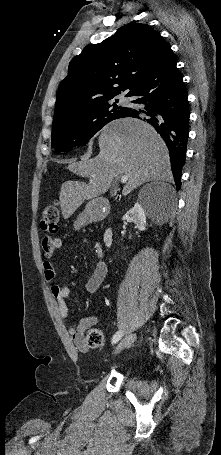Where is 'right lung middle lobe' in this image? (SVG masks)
<instances>
[{"mask_svg": "<svg viewBox=\"0 0 221 455\" xmlns=\"http://www.w3.org/2000/svg\"><path fill=\"white\" fill-rule=\"evenodd\" d=\"M118 102V100H116ZM129 108L117 107L109 100L85 111L53 123L52 147L58 152H69L74 146L85 145L108 122L123 117Z\"/></svg>", "mask_w": 221, "mask_h": 455, "instance_id": "dd1d6c3e", "label": "right lung middle lobe"}]
</instances>
